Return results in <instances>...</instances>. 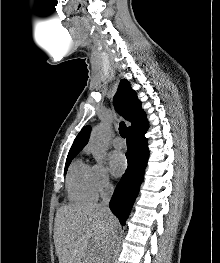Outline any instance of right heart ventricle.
<instances>
[{
  "mask_svg": "<svg viewBox=\"0 0 220 263\" xmlns=\"http://www.w3.org/2000/svg\"><path fill=\"white\" fill-rule=\"evenodd\" d=\"M68 198L73 202H91L97 199L92 167L81 159L75 160L67 175Z\"/></svg>",
  "mask_w": 220,
  "mask_h": 263,
  "instance_id": "e07e8e85",
  "label": "right heart ventricle"
}]
</instances>
